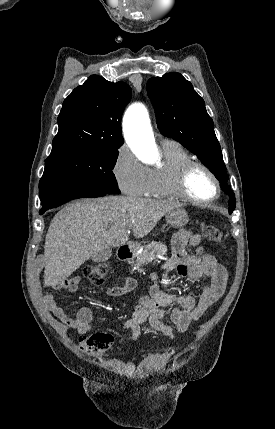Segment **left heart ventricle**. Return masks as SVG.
Instances as JSON below:
<instances>
[{"label": "left heart ventricle", "mask_w": 275, "mask_h": 429, "mask_svg": "<svg viewBox=\"0 0 275 429\" xmlns=\"http://www.w3.org/2000/svg\"><path fill=\"white\" fill-rule=\"evenodd\" d=\"M189 193L196 199L206 200L215 195L216 187L213 179L202 169H195L188 179Z\"/></svg>", "instance_id": "1"}]
</instances>
